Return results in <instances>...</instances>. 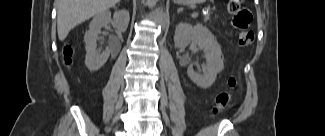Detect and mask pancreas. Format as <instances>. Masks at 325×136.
Masks as SVG:
<instances>
[{
    "instance_id": "obj_1",
    "label": "pancreas",
    "mask_w": 325,
    "mask_h": 136,
    "mask_svg": "<svg viewBox=\"0 0 325 136\" xmlns=\"http://www.w3.org/2000/svg\"><path fill=\"white\" fill-rule=\"evenodd\" d=\"M201 19L207 20V19H210V16H201Z\"/></svg>"
}]
</instances>
